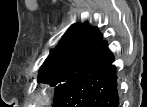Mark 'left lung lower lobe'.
I'll return each instance as SVG.
<instances>
[{"label": "left lung lower lobe", "instance_id": "0a47b994", "mask_svg": "<svg viewBox=\"0 0 147 107\" xmlns=\"http://www.w3.org/2000/svg\"><path fill=\"white\" fill-rule=\"evenodd\" d=\"M114 56L103 41L68 82L53 107H119Z\"/></svg>", "mask_w": 147, "mask_h": 107}]
</instances>
